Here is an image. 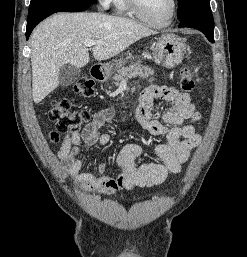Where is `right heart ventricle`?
I'll return each mask as SVG.
<instances>
[{
  "instance_id": "1",
  "label": "right heart ventricle",
  "mask_w": 247,
  "mask_h": 257,
  "mask_svg": "<svg viewBox=\"0 0 247 257\" xmlns=\"http://www.w3.org/2000/svg\"><path fill=\"white\" fill-rule=\"evenodd\" d=\"M115 11L118 14L131 15L132 12L129 10L126 0H113Z\"/></svg>"
}]
</instances>
